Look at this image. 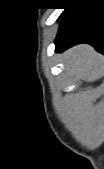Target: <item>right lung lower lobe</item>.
Here are the masks:
<instances>
[{
	"mask_svg": "<svg viewBox=\"0 0 104 169\" xmlns=\"http://www.w3.org/2000/svg\"><path fill=\"white\" fill-rule=\"evenodd\" d=\"M61 26L55 40L56 51L88 43L104 53V9L92 5H70L59 18Z\"/></svg>",
	"mask_w": 104,
	"mask_h": 169,
	"instance_id": "obj_1",
	"label": "right lung lower lobe"
}]
</instances>
